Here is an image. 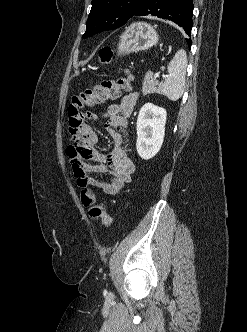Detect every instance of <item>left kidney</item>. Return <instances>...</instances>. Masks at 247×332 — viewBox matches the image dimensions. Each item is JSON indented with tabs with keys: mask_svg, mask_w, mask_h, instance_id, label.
I'll return each instance as SVG.
<instances>
[{
	"mask_svg": "<svg viewBox=\"0 0 247 332\" xmlns=\"http://www.w3.org/2000/svg\"><path fill=\"white\" fill-rule=\"evenodd\" d=\"M166 117V110L152 103H146L140 109L136 149L142 159L149 160L159 152L164 140Z\"/></svg>",
	"mask_w": 247,
	"mask_h": 332,
	"instance_id": "left-kidney-1",
	"label": "left kidney"
}]
</instances>
